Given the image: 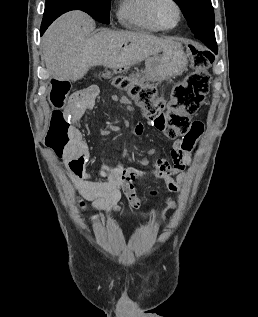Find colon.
I'll use <instances>...</instances> for the list:
<instances>
[{
  "label": "colon",
  "mask_w": 258,
  "mask_h": 317,
  "mask_svg": "<svg viewBox=\"0 0 258 317\" xmlns=\"http://www.w3.org/2000/svg\"><path fill=\"white\" fill-rule=\"evenodd\" d=\"M189 52L193 59L194 71L172 90L167 101L157 99L152 87L132 76H114L108 70L98 75L113 78L114 84L133 97L144 110L145 116L159 131L166 137L175 139L190 131L192 126L190 116L205 98L209 84L208 70L214 62V54L208 50L192 47ZM69 90L68 81L55 80L50 94V102L55 109L51 114L46 144L58 153L63 151L74 138L73 119L64 109ZM169 207H173L172 201H169Z\"/></svg>",
  "instance_id": "obj_1"
}]
</instances>
